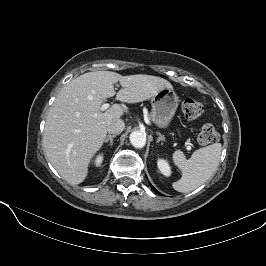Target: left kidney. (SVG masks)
Here are the masks:
<instances>
[{
	"label": "left kidney",
	"mask_w": 266,
	"mask_h": 266,
	"mask_svg": "<svg viewBox=\"0 0 266 266\" xmlns=\"http://www.w3.org/2000/svg\"><path fill=\"white\" fill-rule=\"evenodd\" d=\"M157 166L163 175H165L167 177H169L171 175V168H170V166L166 160L158 159Z\"/></svg>",
	"instance_id": "5707ae66"
}]
</instances>
